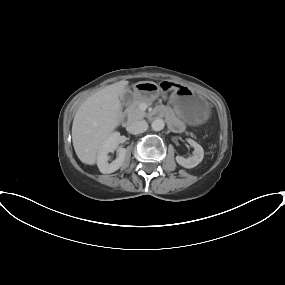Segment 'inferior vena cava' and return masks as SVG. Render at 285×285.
<instances>
[{"mask_svg":"<svg viewBox=\"0 0 285 285\" xmlns=\"http://www.w3.org/2000/svg\"><path fill=\"white\" fill-rule=\"evenodd\" d=\"M148 129V124L145 120L135 121L128 127V131L131 134H140Z\"/></svg>","mask_w":285,"mask_h":285,"instance_id":"602c4592","label":"inferior vena cava"}]
</instances>
